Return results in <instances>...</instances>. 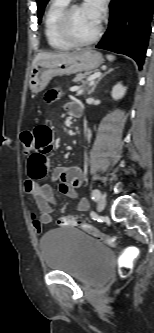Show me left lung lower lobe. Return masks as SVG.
<instances>
[{"mask_svg":"<svg viewBox=\"0 0 154 333\" xmlns=\"http://www.w3.org/2000/svg\"><path fill=\"white\" fill-rule=\"evenodd\" d=\"M109 26L97 48L125 54L142 68L151 34L154 0H112Z\"/></svg>","mask_w":154,"mask_h":333,"instance_id":"0a47b994","label":"left lung lower lobe"}]
</instances>
